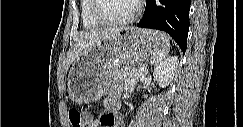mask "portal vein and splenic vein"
<instances>
[{
  "mask_svg": "<svg viewBox=\"0 0 243 127\" xmlns=\"http://www.w3.org/2000/svg\"><path fill=\"white\" fill-rule=\"evenodd\" d=\"M140 72H141L142 74H146V68H144V67L141 68V69H140Z\"/></svg>",
  "mask_w": 243,
  "mask_h": 127,
  "instance_id": "obj_1",
  "label": "portal vein and splenic vein"
}]
</instances>
